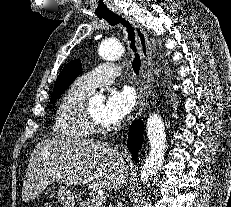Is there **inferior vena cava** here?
Masks as SVG:
<instances>
[{"instance_id": "1", "label": "inferior vena cava", "mask_w": 231, "mask_h": 207, "mask_svg": "<svg viewBox=\"0 0 231 207\" xmlns=\"http://www.w3.org/2000/svg\"><path fill=\"white\" fill-rule=\"evenodd\" d=\"M122 163H124V160H123V158H122Z\"/></svg>"}]
</instances>
